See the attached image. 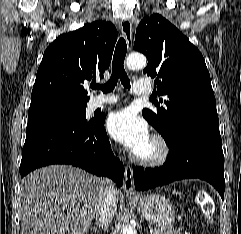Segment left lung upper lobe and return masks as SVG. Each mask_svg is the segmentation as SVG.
Returning <instances> with one entry per match:
<instances>
[{
  "mask_svg": "<svg viewBox=\"0 0 241 234\" xmlns=\"http://www.w3.org/2000/svg\"><path fill=\"white\" fill-rule=\"evenodd\" d=\"M134 49L148 58L144 73L154 78L155 95L164 106L142 110L143 117L171 145L190 127L219 131L210 74L199 50L159 14L145 17L136 29Z\"/></svg>",
  "mask_w": 241,
  "mask_h": 234,
  "instance_id": "obj_1",
  "label": "left lung upper lobe"
}]
</instances>
